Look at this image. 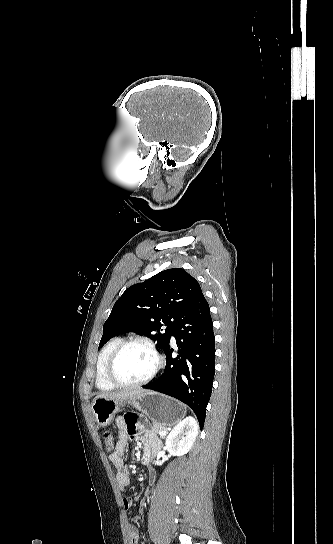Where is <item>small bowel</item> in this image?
Segmentation results:
<instances>
[{
  "mask_svg": "<svg viewBox=\"0 0 333 544\" xmlns=\"http://www.w3.org/2000/svg\"><path fill=\"white\" fill-rule=\"evenodd\" d=\"M116 423L118 427V439H117L114 451L111 452L109 455V461L112 467L115 469L116 480H117L119 488L124 489L128 487L130 484L129 471L125 467L124 461H123V456L125 453L128 440L131 438V439H136L143 442V444L145 445L144 456L147 459V462L150 461V459L156 452L158 448V443L148 433H146L143 439L140 437V432L142 431V425L140 424L137 417L133 418V417L121 416L117 419ZM153 477L154 475L152 474V478ZM144 502H145V499L141 502L138 508L140 517H142V514H143ZM123 505L126 509H128L132 507V501L129 498H124ZM128 534H129L131 544H138L139 533L136 527L129 525Z\"/></svg>",
  "mask_w": 333,
  "mask_h": 544,
  "instance_id": "c3829d8e",
  "label": "small bowel"
}]
</instances>
